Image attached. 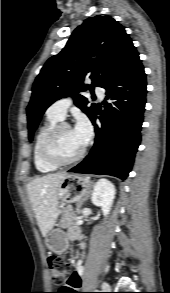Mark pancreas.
<instances>
[{"instance_id": "obj_1", "label": "pancreas", "mask_w": 170, "mask_h": 293, "mask_svg": "<svg viewBox=\"0 0 170 293\" xmlns=\"http://www.w3.org/2000/svg\"><path fill=\"white\" fill-rule=\"evenodd\" d=\"M77 212L78 209L74 211L70 206L65 208L59 223L60 227L69 230L78 228L77 221L80 217L76 214Z\"/></svg>"}]
</instances>
